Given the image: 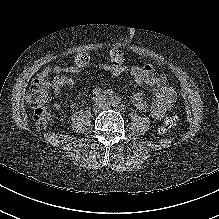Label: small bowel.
Here are the masks:
<instances>
[{
  "instance_id": "c3829d8e",
  "label": "small bowel",
  "mask_w": 219,
  "mask_h": 219,
  "mask_svg": "<svg viewBox=\"0 0 219 219\" xmlns=\"http://www.w3.org/2000/svg\"><path fill=\"white\" fill-rule=\"evenodd\" d=\"M109 56L112 65L106 66L107 70L114 76L128 73L136 84L145 85L153 97L152 103L149 104L145 100L144 94L137 92L132 95L131 103L139 110L149 109L155 119L163 118L166 111L172 107L176 100V92L168 83L166 76L156 72L151 64L129 65L126 53L120 49H112ZM76 65V68H72L73 71H79L84 66L78 63ZM52 69L59 73L53 82V91L57 97H61L65 89L73 86L74 81L72 78L61 74L62 69L60 67L54 66ZM94 93L100 96L104 93V90L96 88ZM57 107L59 108V105Z\"/></svg>"
}]
</instances>
